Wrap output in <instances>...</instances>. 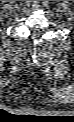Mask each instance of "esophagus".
Here are the masks:
<instances>
[{"mask_svg": "<svg viewBox=\"0 0 74 122\" xmlns=\"http://www.w3.org/2000/svg\"><path fill=\"white\" fill-rule=\"evenodd\" d=\"M27 7L31 10H34L38 7L36 1H27Z\"/></svg>", "mask_w": 74, "mask_h": 122, "instance_id": "34e87169", "label": "esophagus"}]
</instances>
